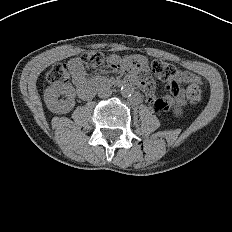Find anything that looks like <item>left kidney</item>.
<instances>
[{
  "label": "left kidney",
  "mask_w": 232,
  "mask_h": 232,
  "mask_svg": "<svg viewBox=\"0 0 232 232\" xmlns=\"http://www.w3.org/2000/svg\"><path fill=\"white\" fill-rule=\"evenodd\" d=\"M179 113H181V110L180 109L176 110V114L178 115Z\"/></svg>",
  "instance_id": "obj_1"
}]
</instances>
